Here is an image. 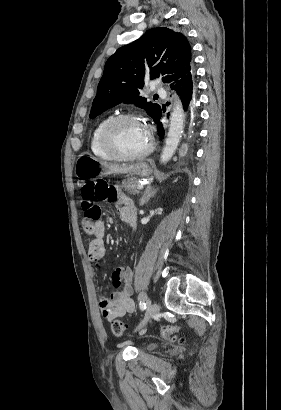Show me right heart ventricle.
<instances>
[{
    "instance_id": "e07e8e85",
    "label": "right heart ventricle",
    "mask_w": 281,
    "mask_h": 410,
    "mask_svg": "<svg viewBox=\"0 0 281 410\" xmlns=\"http://www.w3.org/2000/svg\"><path fill=\"white\" fill-rule=\"evenodd\" d=\"M112 116L108 115L103 117L98 123L95 125L89 141V146L92 154L103 160H113L114 158L109 155L101 146L100 136L103 128L105 125L111 120Z\"/></svg>"
}]
</instances>
